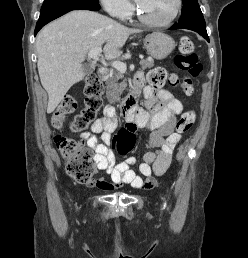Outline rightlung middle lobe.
<instances>
[{
	"label": "right lung middle lobe",
	"mask_w": 248,
	"mask_h": 258,
	"mask_svg": "<svg viewBox=\"0 0 248 258\" xmlns=\"http://www.w3.org/2000/svg\"><path fill=\"white\" fill-rule=\"evenodd\" d=\"M80 2L99 3L98 0H44V3L41 7L40 15L57 8L65 7Z\"/></svg>",
	"instance_id": "obj_1"
}]
</instances>
